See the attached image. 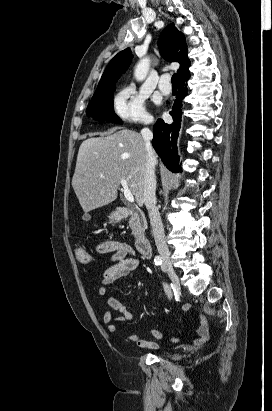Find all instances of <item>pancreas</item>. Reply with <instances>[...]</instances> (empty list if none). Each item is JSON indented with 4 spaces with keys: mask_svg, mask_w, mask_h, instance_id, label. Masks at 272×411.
I'll use <instances>...</instances> for the list:
<instances>
[{
    "mask_svg": "<svg viewBox=\"0 0 272 411\" xmlns=\"http://www.w3.org/2000/svg\"><path fill=\"white\" fill-rule=\"evenodd\" d=\"M129 227L135 237L144 234V231L147 229V222L145 215L141 210L137 209L132 212L129 219Z\"/></svg>",
    "mask_w": 272,
    "mask_h": 411,
    "instance_id": "1",
    "label": "pancreas"
}]
</instances>
